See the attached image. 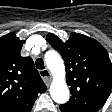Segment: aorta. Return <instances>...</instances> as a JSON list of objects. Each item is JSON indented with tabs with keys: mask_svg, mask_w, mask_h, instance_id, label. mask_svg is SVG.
<instances>
[{
	"mask_svg": "<svg viewBox=\"0 0 112 112\" xmlns=\"http://www.w3.org/2000/svg\"><path fill=\"white\" fill-rule=\"evenodd\" d=\"M45 62L53 75L50 86L52 99L59 104H64L69 100V89L65 80V66L61 56L54 50L45 54Z\"/></svg>",
	"mask_w": 112,
	"mask_h": 112,
	"instance_id": "aorta-1",
	"label": "aorta"
}]
</instances>
